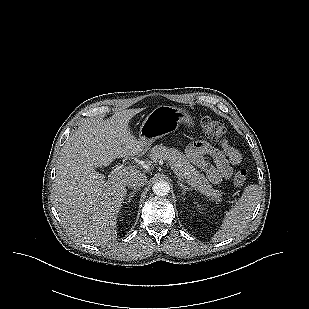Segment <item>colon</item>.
<instances>
[{"label": "colon", "mask_w": 309, "mask_h": 309, "mask_svg": "<svg viewBox=\"0 0 309 309\" xmlns=\"http://www.w3.org/2000/svg\"><path fill=\"white\" fill-rule=\"evenodd\" d=\"M201 127L205 134L214 141L222 142L226 136V128L220 121L213 120L209 117H203L200 121ZM247 179L246 169H239L234 175V183L238 186L243 185Z\"/></svg>", "instance_id": "5ec220e1"}]
</instances>
